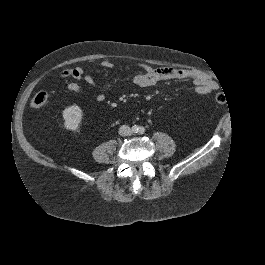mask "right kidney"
Segmentation results:
<instances>
[{
    "label": "right kidney",
    "mask_w": 265,
    "mask_h": 265,
    "mask_svg": "<svg viewBox=\"0 0 265 265\" xmlns=\"http://www.w3.org/2000/svg\"><path fill=\"white\" fill-rule=\"evenodd\" d=\"M63 127L68 132H77L83 120L82 109L77 105L66 107L63 112Z\"/></svg>",
    "instance_id": "right-kidney-1"
}]
</instances>
